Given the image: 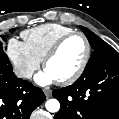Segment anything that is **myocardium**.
Instances as JSON below:
<instances>
[{
  "mask_svg": "<svg viewBox=\"0 0 119 119\" xmlns=\"http://www.w3.org/2000/svg\"><path fill=\"white\" fill-rule=\"evenodd\" d=\"M75 36H79L81 37L84 42H85V46H86V50H85V55L84 58L81 62V64L79 65V67L77 68V70L72 73L70 76L60 79V80H56L58 84L61 85H69L73 82H75L85 71L90 57H91V43L89 41V39L87 38V36L79 31H73L71 33H68L64 36H62L51 48L50 50L46 53L44 59H43V67L46 69V66L48 64V62L54 58L57 53L60 51L61 47L71 38L75 37Z\"/></svg>",
  "mask_w": 119,
  "mask_h": 119,
  "instance_id": "1",
  "label": "myocardium"
}]
</instances>
